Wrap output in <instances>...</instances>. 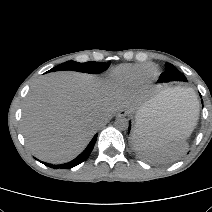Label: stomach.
<instances>
[{
    "mask_svg": "<svg viewBox=\"0 0 212 212\" xmlns=\"http://www.w3.org/2000/svg\"><path fill=\"white\" fill-rule=\"evenodd\" d=\"M163 91H165V90H163ZM155 97L150 99L149 101L143 103L139 107L136 115H140L143 119L147 118L149 121H152L153 123L161 124L166 119V115L163 111H161L157 107V103L153 105L152 101H153V99H155ZM162 99H163V97L160 95V101ZM164 135L165 136H171V135L173 136L174 135V137H179L175 131L166 132V134H164ZM133 139H134V132H133Z\"/></svg>",
    "mask_w": 212,
    "mask_h": 212,
    "instance_id": "0dacf381",
    "label": "stomach"
}]
</instances>
